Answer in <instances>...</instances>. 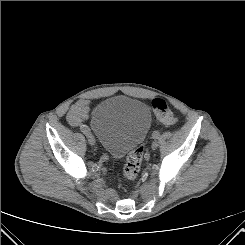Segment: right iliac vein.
<instances>
[{
    "label": "right iliac vein",
    "mask_w": 245,
    "mask_h": 245,
    "mask_svg": "<svg viewBox=\"0 0 245 245\" xmlns=\"http://www.w3.org/2000/svg\"><path fill=\"white\" fill-rule=\"evenodd\" d=\"M86 137H87L89 145L92 146L95 144V138L93 137V135L91 133L87 134Z\"/></svg>",
    "instance_id": "1"
}]
</instances>
